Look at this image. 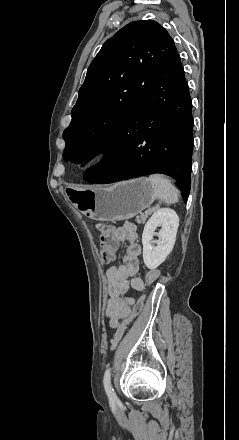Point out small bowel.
I'll use <instances>...</instances> for the list:
<instances>
[{
  "label": "small bowel",
  "instance_id": "1",
  "mask_svg": "<svg viewBox=\"0 0 239 440\" xmlns=\"http://www.w3.org/2000/svg\"><path fill=\"white\" fill-rule=\"evenodd\" d=\"M137 239V227L134 224L127 223L115 229L116 246L109 261L114 260L119 242L126 241L127 247L123 264L111 265L106 272L109 296L106 318L110 329L116 328L119 321L131 313L135 299L129 293L130 289L142 290L144 287L143 280L137 276L141 254V246L137 243Z\"/></svg>",
  "mask_w": 239,
  "mask_h": 440
}]
</instances>
